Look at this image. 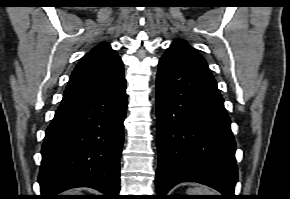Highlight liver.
<instances>
[{"label":"liver","instance_id":"1","mask_svg":"<svg viewBox=\"0 0 290 199\" xmlns=\"http://www.w3.org/2000/svg\"><path fill=\"white\" fill-rule=\"evenodd\" d=\"M69 193H80V190H72Z\"/></svg>","mask_w":290,"mask_h":199}]
</instances>
